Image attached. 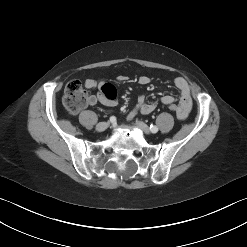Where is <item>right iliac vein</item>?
Here are the masks:
<instances>
[{
	"label": "right iliac vein",
	"mask_w": 247,
	"mask_h": 247,
	"mask_svg": "<svg viewBox=\"0 0 247 247\" xmlns=\"http://www.w3.org/2000/svg\"><path fill=\"white\" fill-rule=\"evenodd\" d=\"M109 127V123L108 122H100L97 124L96 126V130L98 132H102L104 130H106Z\"/></svg>",
	"instance_id": "1"
}]
</instances>
